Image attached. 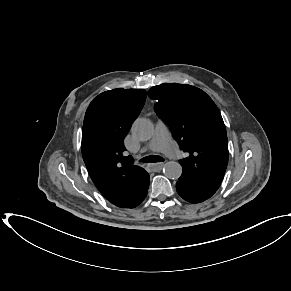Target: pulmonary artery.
Segmentation results:
<instances>
[{"label":"pulmonary artery","instance_id":"1","mask_svg":"<svg viewBox=\"0 0 291 291\" xmlns=\"http://www.w3.org/2000/svg\"><path fill=\"white\" fill-rule=\"evenodd\" d=\"M149 148L152 151L163 152L170 158H178L180 156V151L172 140L166 124L161 120H158L155 125L154 135L149 142Z\"/></svg>","mask_w":291,"mask_h":291}]
</instances>
